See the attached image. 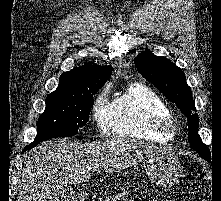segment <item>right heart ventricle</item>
Listing matches in <instances>:
<instances>
[{
  "instance_id": "right-heart-ventricle-1",
  "label": "right heart ventricle",
  "mask_w": 221,
  "mask_h": 201,
  "mask_svg": "<svg viewBox=\"0 0 221 201\" xmlns=\"http://www.w3.org/2000/svg\"><path fill=\"white\" fill-rule=\"evenodd\" d=\"M163 99L149 87L135 83L111 103V132L114 135L166 143L171 136L155 129L160 118L170 117Z\"/></svg>"
}]
</instances>
